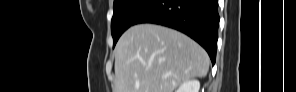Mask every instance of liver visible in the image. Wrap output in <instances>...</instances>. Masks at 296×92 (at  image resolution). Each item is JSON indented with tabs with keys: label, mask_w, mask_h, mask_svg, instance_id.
I'll return each instance as SVG.
<instances>
[{
	"label": "liver",
	"mask_w": 296,
	"mask_h": 92,
	"mask_svg": "<svg viewBox=\"0 0 296 92\" xmlns=\"http://www.w3.org/2000/svg\"><path fill=\"white\" fill-rule=\"evenodd\" d=\"M114 54L115 92H173L191 78L205 77L210 64L195 41L154 24L129 28Z\"/></svg>",
	"instance_id": "1"
}]
</instances>
